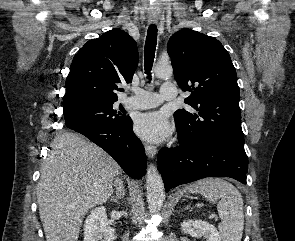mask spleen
Masks as SVG:
<instances>
[{
  "instance_id": "1",
  "label": "spleen",
  "mask_w": 295,
  "mask_h": 241,
  "mask_svg": "<svg viewBox=\"0 0 295 241\" xmlns=\"http://www.w3.org/2000/svg\"><path fill=\"white\" fill-rule=\"evenodd\" d=\"M191 193L203 195L208 201L218 200L221 218L219 236L222 241H241L244 228L243 199L239 190L222 178H206L189 186Z\"/></svg>"
}]
</instances>
